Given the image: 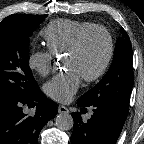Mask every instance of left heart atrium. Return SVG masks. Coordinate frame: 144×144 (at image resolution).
<instances>
[{
  "label": "left heart atrium",
  "mask_w": 144,
  "mask_h": 144,
  "mask_svg": "<svg viewBox=\"0 0 144 144\" xmlns=\"http://www.w3.org/2000/svg\"><path fill=\"white\" fill-rule=\"evenodd\" d=\"M81 78L77 70L69 69L48 81L45 85V92L55 101L69 102L79 89Z\"/></svg>",
  "instance_id": "obj_1"
}]
</instances>
